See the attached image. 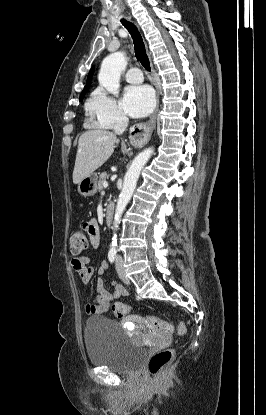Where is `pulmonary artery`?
<instances>
[{"label": "pulmonary artery", "mask_w": 266, "mask_h": 415, "mask_svg": "<svg viewBox=\"0 0 266 415\" xmlns=\"http://www.w3.org/2000/svg\"><path fill=\"white\" fill-rule=\"evenodd\" d=\"M125 79L129 83H141L143 81L142 71L137 67H132L126 72Z\"/></svg>", "instance_id": "e3ab8cb5"}]
</instances>
